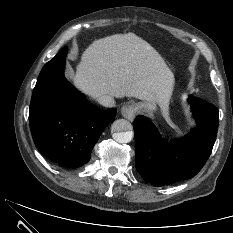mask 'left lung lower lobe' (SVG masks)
I'll use <instances>...</instances> for the list:
<instances>
[{
  "label": "left lung lower lobe",
  "mask_w": 233,
  "mask_h": 233,
  "mask_svg": "<svg viewBox=\"0 0 233 233\" xmlns=\"http://www.w3.org/2000/svg\"><path fill=\"white\" fill-rule=\"evenodd\" d=\"M188 102L197 126L181 142L164 141L156 127L140 116L133 122L136 169L152 185H168L195 176L212 152L219 111L198 97H189Z\"/></svg>",
  "instance_id": "1"
}]
</instances>
